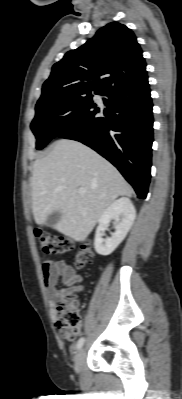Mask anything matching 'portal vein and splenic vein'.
I'll use <instances>...</instances> for the list:
<instances>
[{"mask_svg":"<svg viewBox=\"0 0 182 399\" xmlns=\"http://www.w3.org/2000/svg\"><path fill=\"white\" fill-rule=\"evenodd\" d=\"M78 192H79L80 194H84V193H85V189H84V188H79Z\"/></svg>","mask_w":182,"mask_h":399,"instance_id":"1","label":"portal vein and splenic vein"}]
</instances>
